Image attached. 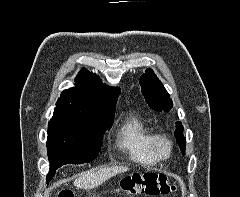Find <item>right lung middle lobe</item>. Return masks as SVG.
<instances>
[{
    "instance_id": "dd1d6c3e",
    "label": "right lung middle lobe",
    "mask_w": 240,
    "mask_h": 197,
    "mask_svg": "<svg viewBox=\"0 0 240 197\" xmlns=\"http://www.w3.org/2000/svg\"><path fill=\"white\" fill-rule=\"evenodd\" d=\"M112 121L102 124H66L49 122L47 152L50 172L47 183L56 170L65 164H83L94 160L102 146L103 133Z\"/></svg>"
}]
</instances>
